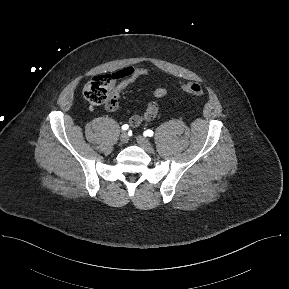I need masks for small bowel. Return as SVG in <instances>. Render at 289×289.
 Wrapping results in <instances>:
<instances>
[{
    "instance_id": "small-bowel-1",
    "label": "small bowel",
    "mask_w": 289,
    "mask_h": 289,
    "mask_svg": "<svg viewBox=\"0 0 289 289\" xmlns=\"http://www.w3.org/2000/svg\"><path fill=\"white\" fill-rule=\"evenodd\" d=\"M149 72L150 70L145 67H125L116 71L112 75V98L116 100L119 94L124 91L131 82H133L139 77L147 75ZM152 94L155 98H163L167 95V90L163 87H158L152 91ZM157 114L158 104L155 101H152L147 104V106L140 114L133 115L129 119V124L134 128L138 127L141 123L145 121L153 120L157 116Z\"/></svg>"
}]
</instances>
